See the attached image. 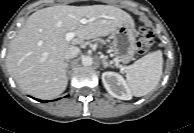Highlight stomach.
<instances>
[{"label":"stomach","instance_id":"stomach-1","mask_svg":"<svg viewBox=\"0 0 194 133\" xmlns=\"http://www.w3.org/2000/svg\"><path fill=\"white\" fill-rule=\"evenodd\" d=\"M113 55L118 62L129 63L137 50L134 24L124 23L112 33Z\"/></svg>","mask_w":194,"mask_h":133}]
</instances>
